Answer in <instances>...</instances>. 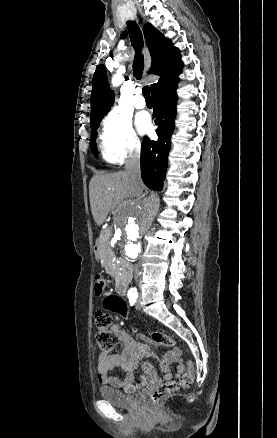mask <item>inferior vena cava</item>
Listing matches in <instances>:
<instances>
[{
  "label": "inferior vena cava",
  "instance_id": "1",
  "mask_svg": "<svg viewBox=\"0 0 277 438\" xmlns=\"http://www.w3.org/2000/svg\"><path fill=\"white\" fill-rule=\"evenodd\" d=\"M125 170L131 188H133V190H141L143 184L141 180L139 152H134V154L128 156L126 160ZM139 268L140 266L139 264H137L134 274V280H136V282H138V278L140 276Z\"/></svg>",
  "mask_w": 277,
  "mask_h": 438
}]
</instances>
